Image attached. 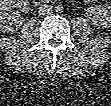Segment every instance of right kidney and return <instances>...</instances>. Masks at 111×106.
Listing matches in <instances>:
<instances>
[{"mask_svg": "<svg viewBox=\"0 0 111 106\" xmlns=\"http://www.w3.org/2000/svg\"><path fill=\"white\" fill-rule=\"evenodd\" d=\"M14 9L17 10L14 11ZM0 10L1 29L8 32L22 24L20 11L27 12L29 10V2L27 0H2Z\"/></svg>", "mask_w": 111, "mask_h": 106, "instance_id": "right-kidney-1", "label": "right kidney"}]
</instances>
